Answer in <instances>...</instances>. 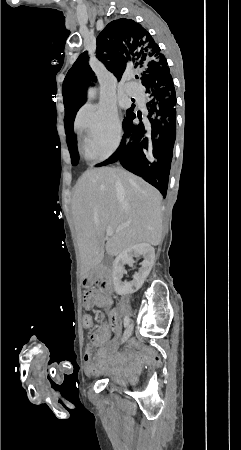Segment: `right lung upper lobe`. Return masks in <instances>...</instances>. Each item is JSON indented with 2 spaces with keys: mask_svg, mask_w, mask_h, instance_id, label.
Wrapping results in <instances>:
<instances>
[{
  "mask_svg": "<svg viewBox=\"0 0 241 450\" xmlns=\"http://www.w3.org/2000/svg\"><path fill=\"white\" fill-rule=\"evenodd\" d=\"M96 57L114 73L118 80L123 74L143 72L152 66L167 63L164 54L149 32L133 20L121 18L110 22L97 37ZM87 52L82 53L69 72L95 81Z\"/></svg>",
  "mask_w": 241,
  "mask_h": 450,
  "instance_id": "cb5924a9",
  "label": "right lung upper lobe"
}]
</instances>
